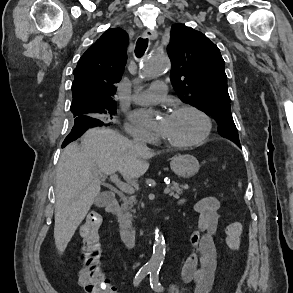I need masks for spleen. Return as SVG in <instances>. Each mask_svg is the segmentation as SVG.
Instances as JSON below:
<instances>
[{"instance_id": "3e777b00", "label": "spleen", "mask_w": 293, "mask_h": 293, "mask_svg": "<svg viewBox=\"0 0 293 293\" xmlns=\"http://www.w3.org/2000/svg\"><path fill=\"white\" fill-rule=\"evenodd\" d=\"M238 186L241 187V183L240 182H239Z\"/></svg>"}]
</instances>
